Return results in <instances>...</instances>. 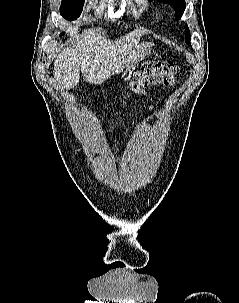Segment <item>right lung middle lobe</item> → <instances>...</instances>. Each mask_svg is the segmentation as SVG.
Returning <instances> with one entry per match:
<instances>
[{"instance_id":"right-lung-middle-lobe-1","label":"right lung middle lobe","mask_w":239,"mask_h":303,"mask_svg":"<svg viewBox=\"0 0 239 303\" xmlns=\"http://www.w3.org/2000/svg\"><path fill=\"white\" fill-rule=\"evenodd\" d=\"M84 0H63L60 14L68 21L77 19L83 9ZM64 35V33H62Z\"/></svg>"}]
</instances>
